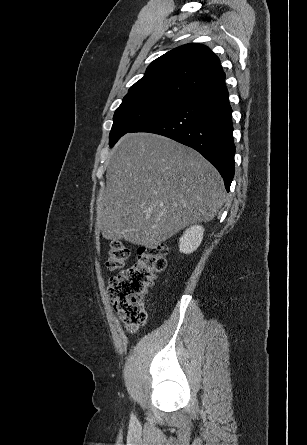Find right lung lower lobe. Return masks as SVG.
Segmentation results:
<instances>
[{"instance_id": "right-lung-lower-lobe-1", "label": "right lung lower lobe", "mask_w": 307, "mask_h": 445, "mask_svg": "<svg viewBox=\"0 0 307 445\" xmlns=\"http://www.w3.org/2000/svg\"><path fill=\"white\" fill-rule=\"evenodd\" d=\"M129 132H150L194 148L211 162L229 191L234 177L232 109L222 81Z\"/></svg>"}]
</instances>
